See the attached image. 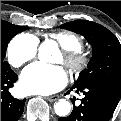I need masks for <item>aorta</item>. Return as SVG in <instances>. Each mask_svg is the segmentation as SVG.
Instances as JSON below:
<instances>
[{"label":"aorta","instance_id":"obj_1","mask_svg":"<svg viewBox=\"0 0 121 121\" xmlns=\"http://www.w3.org/2000/svg\"><path fill=\"white\" fill-rule=\"evenodd\" d=\"M57 49V45L53 41H46L39 47L38 57L41 61H47L50 54ZM55 113L58 116L64 117L70 113L71 105L65 99H61L54 105Z\"/></svg>","mask_w":121,"mask_h":121}]
</instances>
